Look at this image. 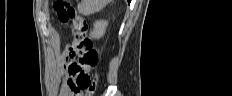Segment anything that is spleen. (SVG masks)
I'll return each instance as SVG.
<instances>
[{
	"label": "spleen",
	"instance_id": "3e777b00",
	"mask_svg": "<svg viewBox=\"0 0 232 96\" xmlns=\"http://www.w3.org/2000/svg\"><path fill=\"white\" fill-rule=\"evenodd\" d=\"M108 0H82L77 5L80 14L88 16L102 10L107 4Z\"/></svg>",
	"mask_w": 232,
	"mask_h": 96
}]
</instances>
